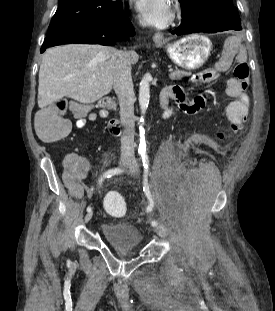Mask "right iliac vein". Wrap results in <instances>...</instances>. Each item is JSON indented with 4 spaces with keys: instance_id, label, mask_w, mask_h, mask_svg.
Masks as SVG:
<instances>
[{
    "instance_id": "right-iliac-vein-1",
    "label": "right iliac vein",
    "mask_w": 275,
    "mask_h": 311,
    "mask_svg": "<svg viewBox=\"0 0 275 311\" xmlns=\"http://www.w3.org/2000/svg\"><path fill=\"white\" fill-rule=\"evenodd\" d=\"M121 167H125L131 164V160L129 158H122L119 162ZM93 212H89L86 216H85V223L89 222L90 219L92 218Z\"/></svg>"
}]
</instances>
